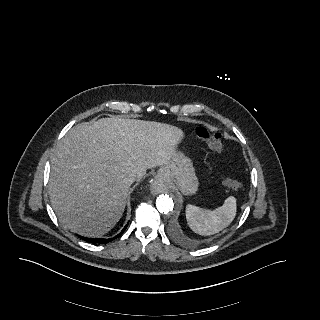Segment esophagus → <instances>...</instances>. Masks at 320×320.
<instances>
[{"label": "esophagus", "instance_id": "34e87169", "mask_svg": "<svg viewBox=\"0 0 320 320\" xmlns=\"http://www.w3.org/2000/svg\"><path fill=\"white\" fill-rule=\"evenodd\" d=\"M165 189L164 182L160 176H156L151 183V191L154 194L163 192Z\"/></svg>", "mask_w": 320, "mask_h": 320}]
</instances>
